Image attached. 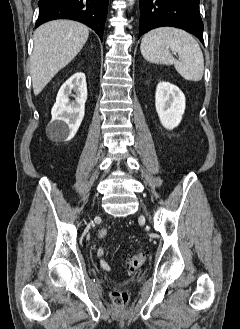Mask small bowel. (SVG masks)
Wrapping results in <instances>:
<instances>
[{"label": "small bowel", "mask_w": 240, "mask_h": 329, "mask_svg": "<svg viewBox=\"0 0 240 329\" xmlns=\"http://www.w3.org/2000/svg\"><path fill=\"white\" fill-rule=\"evenodd\" d=\"M100 265H101V267H102L103 269H105V270H109V269H110L109 264H108L105 260H101V261H100Z\"/></svg>", "instance_id": "small-bowel-1"}]
</instances>
